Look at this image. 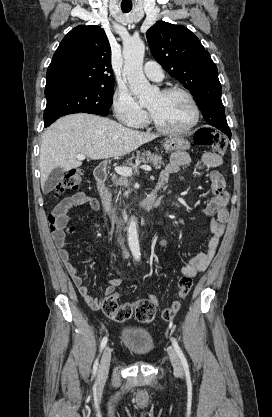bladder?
Here are the masks:
<instances>
[{
	"label": "bladder",
	"instance_id": "1",
	"mask_svg": "<svg viewBox=\"0 0 272 417\" xmlns=\"http://www.w3.org/2000/svg\"><path fill=\"white\" fill-rule=\"evenodd\" d=\"M121 339L125 348L138 356L150 354L155 346L148 331L135 327H125L122 330Z\"/></svg>",
	"mask_w": 272,
	"mask_h": 417
}]
</instances>
